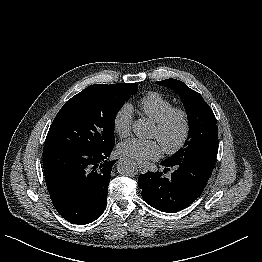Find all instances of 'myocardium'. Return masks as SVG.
Masks as SVG:
<instances>
[{"label":"myocardium","instance_id":"myocardium-1","mask_svg":"<svg viewBox=\"0 0 262 262\" xmlns=\"http://www.w3.org/2000/svg\"><path fill=\"white\" fill-rule=\"evenodd\" d=\"M176 117H179L182 121V133L179 140L174 145L163 147L164 152L168 155H175L180 152L189 140L191 133V119L189 112L184 107L174 106L156 122V127L159 132L165 133Z\"/></svg>","mask_w":262,"mask_h":262}]
</instances>
